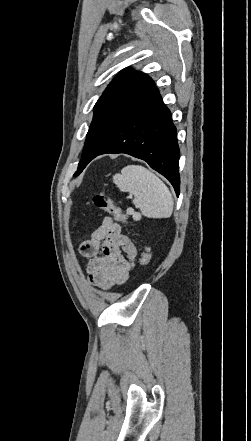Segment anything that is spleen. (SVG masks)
Listing matches in <instances>:
<instances>
[{
	"label": "spleen",
	"instance_id": "spleen-1",
	"mask_svg": "<svg viewBox=\"0 0 251 441\" xmlns=\"http://www.w3.org/2000/svg\"><path fill=\"white\" fill-rule=\"evenodd\" d=\"M122 192L134 196L133 204L148 218H168L173 212V198L168 187L154 173L141 165H128L113 176Z\"/></svg>",
	"mask_w": 251,
	"mask_h": 441
}]
</instances>
